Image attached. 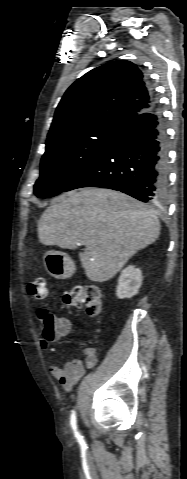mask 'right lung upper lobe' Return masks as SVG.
Listing matches in <instances>:
<instances>
[{
  "label": "right lung upper lobe",
  "mask_w": 187,
  "mask_h": 479,
  "mask_svg": "<svg viewBox=\"0 0 187 479\" xmlns=\"http://www.w3.org/2000/svg\"><path fill=\"white\" fill-rule=\"evenodd\" d=\"M154 104V95L135 64L126 60L107 63L68 88L56 109L47 142L68 131L94 125L122 129Z\"/></svg>",
  "instance_id": "1"
}]
</instances>
